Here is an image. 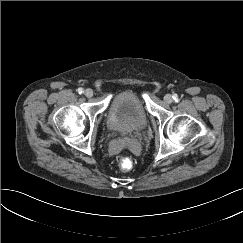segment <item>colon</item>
I'll return each instance as SVG.
<instances>
[{
  "label": "colon",
  "mask_w": 243,
  "mask_h": 243,
  "mask_svg": "<svg viewBox=\"0 0 243 243\" xmlns=\"http://www.w3.org/2000/svg\"><path fill=\"white\" fill-rule=\"evenodd\" d=\"M119 167L123 171H129L133 167V162L127 157H122L119 160Z\"/></svg>",
  "instance_id": "5ec220e1"
}]
</instances>
